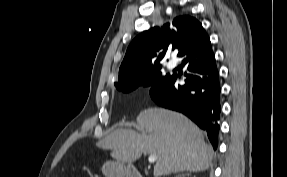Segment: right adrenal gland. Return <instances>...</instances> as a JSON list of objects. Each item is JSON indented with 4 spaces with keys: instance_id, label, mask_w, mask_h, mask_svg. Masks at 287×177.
<instances>
[{
    "instance_id": "right-adrenal-gland-1",
    "label": "right adrenal gland",
    "mask_w": 287,
    "mask_h": 177,
    "mask_svg": "<svg viewBox=\"0 0 287 177\" xmlns=\"http://www.w3.org/2000/svg\"><path fill=\"white\" fill-rule=\"evenodd\" d=\"M187 176H189V174H187ZM176 177H184V175H177Z\"/></svg>"
}]
</instances>
